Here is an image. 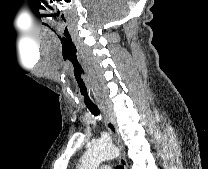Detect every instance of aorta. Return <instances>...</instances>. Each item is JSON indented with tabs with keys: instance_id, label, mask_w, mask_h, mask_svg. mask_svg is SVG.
I'll return each instance as SVG.
<instances>
[{
	"instance_id": "762f6f07",
	"label": "aorta",
	"mask_w": 208,
	"mask_h": 169,
	"mask_svg": "<svg viewBox=\"0 0 208 169\" xmlns=\"http://www.w3.org/2000/svg\"><path fill=\"white\" fill-rule=\"evenodd\" d=\"M117 155L118 149L113 144L95 143L82 156L79 169H97L103 161L113 159Z\"/></svg>"
}]
</instances>
